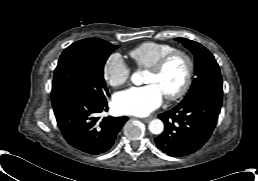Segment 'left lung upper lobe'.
<instances>
[{
  "label": "left lung upper lobe",
  "instance_id": "obj_1",
  "mask_svg": "<svg viewBox=\"0 0 258 181\" xmlns=\"http://www.w3.org/2000/svg\"><path fill=\"white\" fill-rule=\"evenodd\" d=\"M195 56V74L192 86L181 103L189 102L210 92L223 93L222 77L213 55L201 44L186 39L176 38Z\"/></svg>",
  "mask_w": 258,
  "mask_h": 181
}]
</instances>
